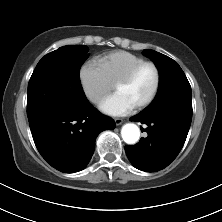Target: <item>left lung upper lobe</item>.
Segmentation results:
<instances>
[{"instance_id": "5c2ea615", "label": "left lung upper lobe", "mask_w": 222, "mask_h": 222, "mask_svg": "<svg viewBox=\"0 0 222 222\" xmlns=\"http://www.w3.org/2000/svg\"><path fill=\"white\" fill-rule=\"evenodd\" d=\"M143 54L155 63L160 74L158 93L151 105L171 97L191 99V86L177 62L150 49Z\"/></svg>"}]
</instances>
